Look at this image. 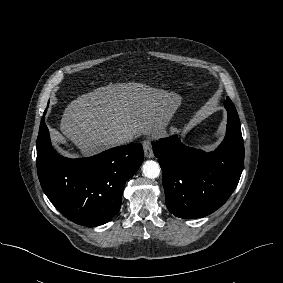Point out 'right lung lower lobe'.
I'll use <instances>...</instances> for the list:
<instances>
[{"instance_id":"98d812e1","label":"right lung lower lobe","mask_w":283,"mask_h":283,"mask_svg":"<svg viewBox=\"0 0 283 283\" xmlns=\"http://www.w3.org/2000/svg\"><path fill=\"white\" fill-rule=\"evenodd\" d=\"M42 118L37 138V172L43 191L69 220L98 226L112 219L121 207L126 181L139 169L141 144L109 149L89 158L57 155Z\"/></svg>"}]
</instances>
